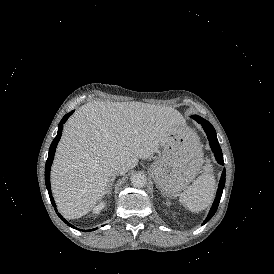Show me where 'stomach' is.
<instances>
[{
  "label": "stomach",
  "instance_id": "1",
  "mask_svg": "<svg viewBox=\"0 0 274 274\" xmlns=\"http://www.w3.org/2000/svg\"><path fill=\"white\" fill-rule=\"evenodd\" d=\"M194 132L186 127L178 129L168 139L161 141V155L150 167L156 186L164 195L176 196L185 189L199 173L201 166L191 147Z\"/></svg>",
  "mask_w": 274,
  "mask_h": 274
}]
</instances>
